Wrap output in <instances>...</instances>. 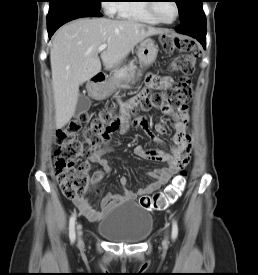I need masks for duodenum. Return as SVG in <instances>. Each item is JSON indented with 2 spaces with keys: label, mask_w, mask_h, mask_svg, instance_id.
Returning <instances> with one entry per match:
<instances>
[{
  "label": "duodenum",
  "mask_w": 258,
  "mask_h": 275,
  "mask_svg": "<svg viewBox=\"0 0 258 275\" xmlns=\"http://www.w3.org/2000/svg\"><path fill=\"white\" fill-rule=\"evenodd\" d=\"M105 81H106V75L102 71L95 73L92 77L93 86L91 88V93L95 96H98L100 92V88Z\"/></svg>",
  "instance_id": "obj_1"
}]
</instances>
